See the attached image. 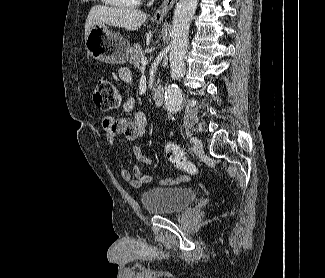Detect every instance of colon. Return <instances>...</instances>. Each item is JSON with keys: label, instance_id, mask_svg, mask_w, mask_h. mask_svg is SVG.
<instances>
[{"label": "colon", "instance_id": "5ec220e1", "mask_svg": "<svg viewBox=\"0 0 325 278\" xmlns=\"http://www.w3.org/2000/svg\"><path fill=\"white\" fill-rule=\"evenodd\" d=\"M93 101L99 109L110 111L120 106L121 94L111 81L99 79L94 87ZM164 149L167 159L175 168L190 176L198 173L197 167L185 158L183 152L175 143L166 142Z\"/></svg>", "mask_w": 325, "mask_h": 278}]
</instances>
